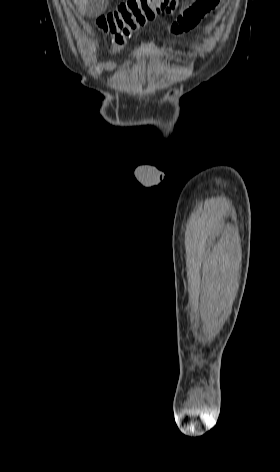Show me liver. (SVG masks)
Masks as SVG:
<instances>
[{
	"mask_svg": "<svg viewBox=\"0 0 280 472\" xmlns=\"http://www.w3.org/2000/svg\"><path fill=\"white\" fill-rule=\"evenodd\" d=\"M89 0H74L79 12L84 15L86 13V6Z\"/></svg>",
	"mask_w": 280,
	"mask_h": 472,
	"instance_id": "6515ba94",
	"label": "liver"
}]
</instances>
